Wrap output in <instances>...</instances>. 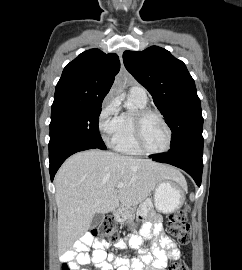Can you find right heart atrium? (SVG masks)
<instances>
[{"label": "right heart atrium", "instance_id": "d8ad5b80", "mask_svg": "<svg viewBox=\"0 0 242 270\" xmlns=\"http://www.w3.org/2000/svg\"><path fill=\"white\" fill-rule=\"evenodd\" d=\"M119 103L113 95L105 99L98 117V128L105 142L113 139L119 126Z\"/></svg>", "mask_w": 242, "mask_h": 270}]
</instances>
